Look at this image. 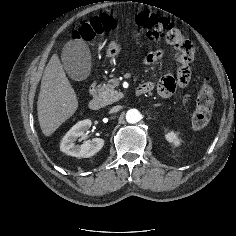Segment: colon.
Masks as SVG:
<instances>
[{
  "instance_id": "colon-1",
  "label": "colon",
  "mask_w": 236,
  "mask_h": 236,
  "mask_svg": "<svg viewBox=\"0 0 236 236\" xmlns=\"http://www.w3.org/2000/svg\"><path fill=\"white\" fill-rule=\"evenodd\" d=\"M136 21L146 31L149 40H166L178 47L184 42V36L165 17L144 11L137 16ZM117 27L118 22L114 17L108 15L94 16L80 22L73 33V38L90 42L103 34L115 31ZM182 83H188L187 76L183 77ZM213 106V88L207 81H204L198 91L196 108L191 119L193 130L200 131L208 125Z\"/></svg>"
}]
</instances>
